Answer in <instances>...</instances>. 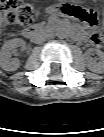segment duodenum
Instances as JSON below:
<instances>
[{
	"label": "duodenum",
	"mask_w": 104,
	"mask_h": 137,
	"mask_svg": "<svg viewBox=\"0 0 104 137\" xmlns=\"http://www.w3.org/2000/svg\"><path fill=\"white\" fill-rule=\"evenodd\" d=\"M36 34H37V29L35 27H30L24 30V35L28 38H32L36 36ZM75 36L84 41L88 40L89 38L88 35L84 33L83 31L76 33Z\"/></svg>",
	"instance_id": "duodenum-1"
}]
</instances>
